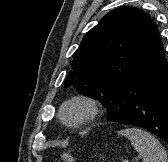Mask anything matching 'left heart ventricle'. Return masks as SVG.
I'll return each mask as SVG.
<instances>
[{"instance_id":"left-heart-ventricle-1","label":"left heart ventricle","mask_w":168,"mask_h":162,"mask_svg":"<svg viewBox=\"0 0 168 162\" xmlns=\"http://www.w3.org/2000/svg\"><path fill=\"white\" fill-rule=\"evenodd\" d=\"M71 115L73 116V115H74V112H73V113H71Z\"/></svg>"}]
</instances>
